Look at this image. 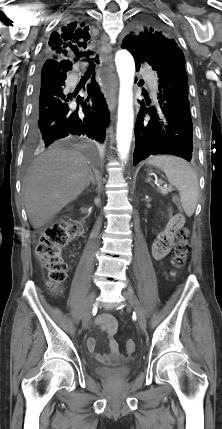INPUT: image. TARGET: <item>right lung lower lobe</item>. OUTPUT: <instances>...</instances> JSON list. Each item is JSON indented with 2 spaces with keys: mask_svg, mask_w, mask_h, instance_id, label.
<instances>
[{
  "mask_svg": "<svg viewBox=\"0 0 222 429\" xmlns=\"http://www.w3.org/2000/svg\"><path fill=\"white\" fill-rule=\"evenodd\" d=\"M71 66L72 63L66 60L47 59L36 80L31 135L45 147L54 142L74 144L83 137L98 142L105 140L109 112L94 79L87 85V101L92 106L83 103L80 96L77 97L78 104L81 103L80 109L69 106L74 94L68 92L65 80Z\"/></svg>",
  "mask_w": 222,
  "mask_h": 429,
  "instance_id": "obj_1",
  "label": "right lung lower lobe"
}]
</instances>
